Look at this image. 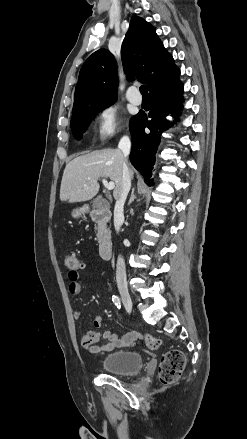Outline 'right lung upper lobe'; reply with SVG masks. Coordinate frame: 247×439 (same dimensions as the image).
Returning a JSON list of instances; mask_svg holds the SVG:
<instances>
[{
	"label": "right lung upper lobe",
	"instance_id": "obj_1",
	"mask_svg": "<svg viewBox=\"0 0 247 439\" xmlns=\"http://www.w3.org/2000/svg\"><path fill=\"white\" fill-rule=\"evenodd\" d=\"M121 58L128 81L146 83L150 95L179 82L180 69L164 48L155 28L134 17L122 43ZM117 66L114 56L99 49L83 64L75 88L72 116L117 99Z\"/></svg>",
	"mask_w": 247,
	"mask_h": 439
}]
</instances>
